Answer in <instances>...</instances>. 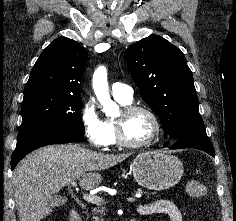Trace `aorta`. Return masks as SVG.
Here are the masks:
<instances>
[{"instance_id": "aorta-1", "label": "aorta", "mask_w": 236, "mask_h": 221, "mask_svg": "<svg viewBox=\"0 0 236 221\" xmlns=\"http://www.w3.org/2000/svg\"><path fill=\"white\" fill-rule=\"evenodd\" d=\"M96 96L103 107V111L107 116L117 117L119 116V107L118 105L111 100L110 94L108 91V83L106 76L101 83V85L95 88Z\"/></svg>"}]
</instances>
